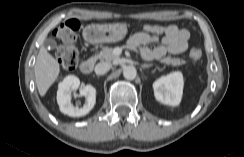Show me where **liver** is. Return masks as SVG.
<instances>
[{"label": "liver", "instance_id": "obj_1", "mask_svg": "<svg viewBox=\"0 0 244 157\" xmlns=\"http://www.w3.org/2000/svg\"><path fill=\"white\" fill-rule=\"evenodd\" d=\"M34 72L38 92L43 97L56 81L60 72L59 63L44 46L39 50Z\"/></svg>", "mask_w": 244, "mask_h": 157}]
</instances>
